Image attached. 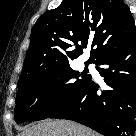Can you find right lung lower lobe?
I'll list each match as a JSON object with an SVG mask.
<instances>
[{"label": "right lung lower lobe", "instance_id": "98d812e1", "mask_svg": "<svg viewBox=\"0 0 136 136\" xmlns=\"http://www.w3.org/2000/svg\"><path fill=\"white\" fill-rule=\"evenodd\" d=\"M108 86L92 77L70 101L48 118L73 120L104 136H134L136 128V36L93 62Z\"/></svg>", "mask_w": 136, "mask_h": 136}]
</instances>
